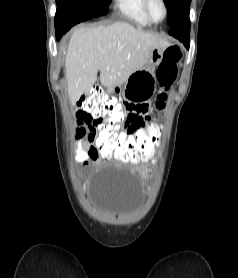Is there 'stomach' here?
<instances>
[{
  "label": "stomach",
  "instance_id": "1",
  "mask_svg": "<svg viewBox=\"0 0 238 278\" xmlns=\"http://www.w3.org/2000/svg\"><path fill=\"white\" fill-rule=\"evenodd\" d=\"M163 54L164 49L160 47L151 50L142 69L133 72L124 84H115V95H118L119 99L148 102L156 89V77L152 66L162 61Z\"/></svg>",
  "mask_w": 238,
  "mask_h": 278
}]
</instances>
